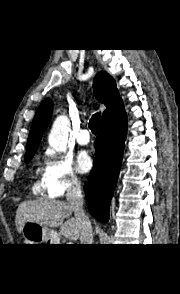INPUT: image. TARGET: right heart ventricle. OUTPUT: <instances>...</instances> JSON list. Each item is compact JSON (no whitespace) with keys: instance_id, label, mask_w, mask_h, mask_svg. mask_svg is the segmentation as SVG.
<instances>
[{"instance_id":"e07e8e85","label":"right heart ventricle","mask_w":180,"mask_h":294,"mask_svg":"<svg viewBox=\"0 0 180 294\" xmlns=\"http://www.w3.org/2000/svg\"><path fill=\"white\" fill-rule=\"evenodd\" d=\"M37 166L39 167V163L37 164ZM39 172V168H37V170L35 171V176H34V182L32 184L31 190L32 193L35 195H40L43 193V185H42V180L38 178L37 174Z\"/></svg>"}]
</instances>
